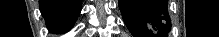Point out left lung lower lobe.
Instances as JSON below:
<instances>
[{"instance_id":"1","label":"left lung lower lobe","mask_w":219,"mask_h":37,"mask_svg":"<svg viewBox=\"0 0 219 37\" xmlns=\"http://www.w3.org/2000/svg\"><path fill=\"white\" fill-rule=\"evenodd\" d=\"M124 22L134 37H167L168 0H119Z\"/></svg>"}]
</instances>
